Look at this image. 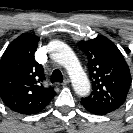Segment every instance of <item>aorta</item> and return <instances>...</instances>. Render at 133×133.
<instances>
[{
  "instance_id": "762f6f07",
  "label": "aorta",
  "mask_w": 133,
  "mask_h": 133,
  "mask_svg": "<svg viewBox=\"0 0 133 133\" xmlns=\"http://www.w3.org/2000/svg\"><path fill=\"white\" fill-rule=\"evenodd\" d=\"M48 49L51 58L67 70L74 91L79 96H86L90 91V82L73 50L59 40L51 41Z\"/></svg>"
}]
</instances>
